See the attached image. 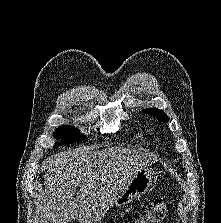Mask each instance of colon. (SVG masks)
<instances>
[{"mask_svg":"<svg viewBox=\"0 0 221 223\" xmlns=\"http://www.w3.org/2000/svg\"><path fill=\"white\" fill-rule=\"evenodd\" d=\"M167 213V203L162 199H156L146 206L133 223H160Z\"/></svg>","mask_w":221,"mask_h":223,"instance_id":"obj_1","label":"colon"}]
</instances>
